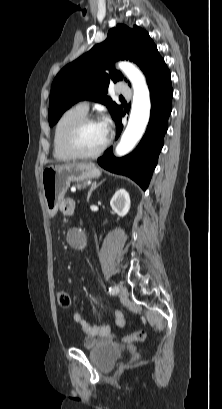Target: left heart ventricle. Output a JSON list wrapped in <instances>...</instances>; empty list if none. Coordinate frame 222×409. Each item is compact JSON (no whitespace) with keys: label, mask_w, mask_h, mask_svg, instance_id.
I'll return each instance as SVG.
<instances>
[{"label":"left heart ventricle","mask_w":222,"mask_h":409,"mask_svg":"<svg viewBox=\"0 0 222 409\" xmlns=\"http://www.w3.org/2000/svg\"><path fill=\"white\" fill-rule=\"evenodd\" d=\"M107 136L100 122L86 125L79 133L76 143L84 153H93L104 144Z\"/></svg>","instance_id":"obj_1"}]
</instances>
